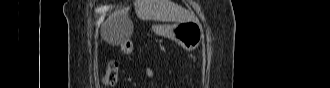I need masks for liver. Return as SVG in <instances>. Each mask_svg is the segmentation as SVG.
Instances as JSON below:
<instances>
[{"label":"liver","instance_id":"1","mask_svg":"<svg viewBox=\"0 0 330 88\" xmlns=\"http://www.w3.org/2000/svg\"><path fill=\"white\" fill-rule=\"evenodd\" d=\"M134 6L137 16L142 20L179 23L196 19L194 14L176 5L171 0H136ZM124 20L132 24L130 20ZM118 23V15L109 17L101 29L102 39L118 44L117 39L114 38V29Z\"/></svg>","mask_w":330,"mask_h":88}]
</instances>
